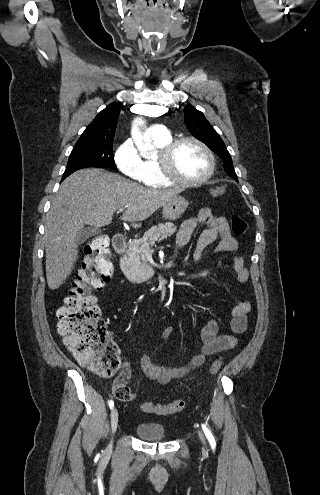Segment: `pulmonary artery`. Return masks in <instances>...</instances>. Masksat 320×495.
<instances>
[{"label":"pulmonary artery","instance_id":"pulmonary-artery-1","mask_svg":"<svg viewBox=\"0 0 320 495\" xmlns=\"http://www.w3.org/2000/svg\"><path fill=\"white\" fill-rule=\"evenodd\" d=\"M147 134L152 137L166 138L170 136L168 129L161 124L152 125L148 128Z\"/></svg>","mask_w":320,"mask_h":495}]
</instances>
